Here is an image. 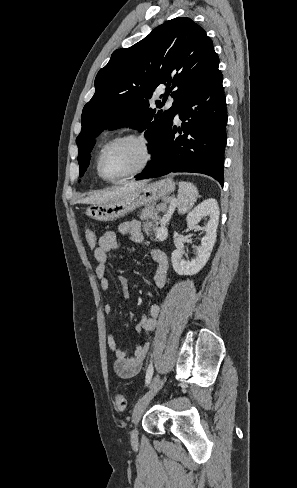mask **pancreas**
Instances as JSON below:
<instances>
[{"label": "pancreas", "instance_id": "pancreas-1", "mask_svg": "<svg viewBox=\"0 0 297 488\" xmlns=\"http://www.w3.org/2000/svg\"><path fill=\"white\" fill-rule=\"evenodd\" d=\"M139 218L141 220H145L146 221L144 223V227L145 228H147L149 226H153V231H156V228L154 227V224H156L157 221H158V219H159L158 211H157V207L156 206L151 205V206H147L146 208H144L141 211ZM149 219H150V221H149Z\"/></svg>", "mask_w": 297, "mask_h": 488}]
</instances>
